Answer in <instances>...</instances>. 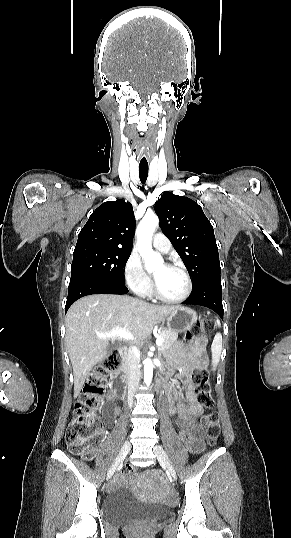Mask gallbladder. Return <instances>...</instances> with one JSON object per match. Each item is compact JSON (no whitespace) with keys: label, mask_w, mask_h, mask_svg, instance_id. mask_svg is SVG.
<instances>
[{"label":"gallbladder","mask_w":291,"mask_h":538,"mask_svg":"<svg viewBox=\"0 0 291 538\" xmlns=\"http://www.w3.org/2000/svg\"><path fill=\"white\" fill-rule=\"evenodd\" d=\"M117 347V344H110L108 348V353L114 350Z\"/></svg>","instance_id":"obj_1"}]
</instances>
